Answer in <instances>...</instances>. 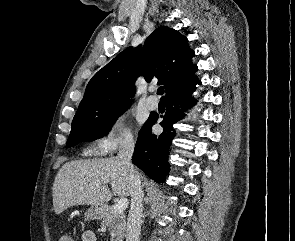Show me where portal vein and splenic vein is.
Masks as SVG:
<instances>
[{
    "instance_id": "1",
    "label": "portal vein and splenic vein",
    "mask_w": 295,
    "mask_h": 241,
    "mask_svg": "<svg viewBox=\"0 0 295 241\" xmlns=\"http://www.w3.org/2000/svg\"><path fill=\"white\" fill-rule=\"evenodd\" d=\"M127 206H128V199L122 198L114 205V207H113L114 212L115 213H123V211L127 208Z\"/></svg>"
}]
</instances>
